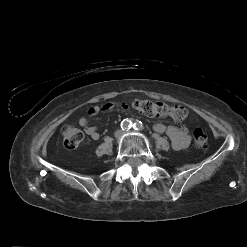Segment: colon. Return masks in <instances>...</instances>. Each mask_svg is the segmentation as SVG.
Listing matches in <instances>:
<instances>
[{
    "mask_svg": "<svg viewBox=\"0 0 247 247\" xmlns=\"http://www.w3.org/2000/svg\"><path fill=\"white\" fill-rule=\"evenodd\" d=\"M132 106L149 117L165 118L170 117L175 121H183L188 117V111L181 105H168L162 102H155L146 99H135ZM63 143L67 149H75L84 138L83 132L73 126L66 125L61 130ZM194 144L198 148H205L208 143L206 133L197 128L193 132Z\"/></svg>",
    "mask_w": 247,
    "mask_h": 247,
    "instance_id": "obj_1",
    "label": "colon"
}]
</instances>
